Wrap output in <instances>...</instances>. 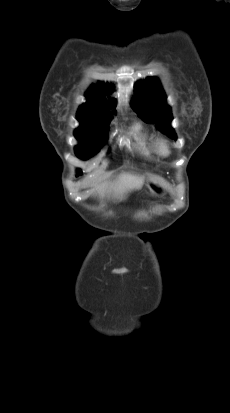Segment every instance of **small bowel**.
<instances>
[{"label": "small bowel", "instance_id": "small-bowel-1", "mask_svg": "<svg viewBox=\"0 0 230 413\" xmlns=\"http://www.w3.org/2000/svg\"><path fill=\"white\" fill-rule=\"evenodd\" d=\"M147 211H148V212H152V211H153V208H152V207H148V208H147Z\"/></svg>", "mask_w": 230, "mask_h": 413}]
</instances>
